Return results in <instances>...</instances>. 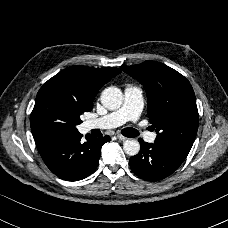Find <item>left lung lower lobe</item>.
<instances>
[{
	"mask_svg": "<svg viewBox=\"0 0 228 228\" xmlns=\"http://www.w3.org/2000/svg\"><path fill=\"white\" fill-rule=\"evenodd\" d=\"M140 152L130 158L132 171L140 178L147 181L162 180L182 164L189 150L160 144L158 142L147 143L139 139Z\"/></svg>",
	"mask_w": 228,
	"mask_h": 228,
	"instance_id": "1",
	"label": "left lung lower lobe"
}]
</instances>
